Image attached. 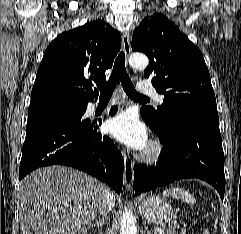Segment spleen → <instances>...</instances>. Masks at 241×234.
<instances>
[{
    "mask_svg": "<svg viewBox=\"0 0 241 234\" xmlns=\"http://www.w3.org/2000/svg\"><path fill=\"white\" fill-rule=\"evenodd\" d=\"M163 196L181 199L192 205L196 202L194 196L190 192L179 187L167 189L166 191L163 192ZM203 234H209V232L205 231Z\"/></svg>",
    "mask_w": 241,
    "mask_h": 234,
    "instance_id": "1",
    "label": "spleen"
}]
</instances>
